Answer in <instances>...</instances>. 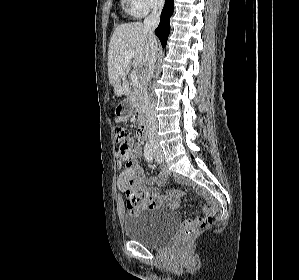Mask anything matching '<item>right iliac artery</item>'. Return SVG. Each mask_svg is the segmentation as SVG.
I'll return each mask as SVG.
<instances>
[{"label":"right iliac artery","mask_w":299,"mask_h":280,"mask_svg":"<svg viewBox=\"0 0 299 280\" xmlns=\"http://www.w3.org/2000/svg\"><path fill=\"white\" fill-rule=\"evenodd\" d=\"M144 155L146 160L149 162H152L153 160V148L150 143H146L145 148H144Z\"/></svg>","instance_id":"obj_1"}]
</instances>
